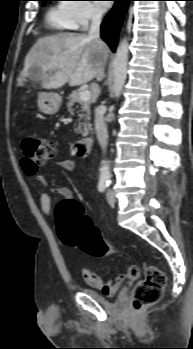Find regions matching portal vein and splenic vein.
<instances>
[{"instance_id": "portal-vein-and-splenic-vein-1", "label": "portal vein and splenic vein", "mask_w": 193, "mask_h": 349, "mask_svg": "<svg viewBox=\"0 0 193 349\" xmlns=\"http://www.w3.org/2000/svg\"><path fill=\"white\" fill-rule=\"evenodd\" d=\"M91 97V92L89 90H83L80 92V99L83 101H88Z\"/></svg>"}]
</instances>
